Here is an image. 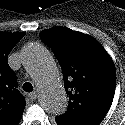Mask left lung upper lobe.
Instances as JSON below:
<instances>
[{
  "label": "left lung upper lobe",
  "instance_id": "left-lung-upper-lobe-1",
  "mask_svg": "<svg viewBox=\"0 0 125 125\" xmlns=\"http://www.w3.org/2000/svg\"><path fill=\"white\" fill-rule=\"evenodd\" d=\"M58 59L69 97L67 111L59 119L76 125H99L113 101L116 71L113 60L91 36L69 28L40 32Z\"/></svg>",
  "mask_w": 125,
  "mask_h": 125
}]
</instances>
